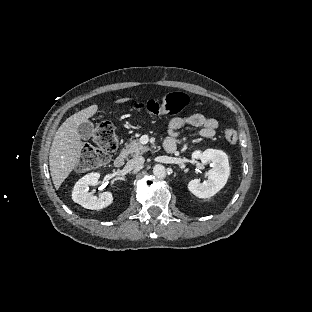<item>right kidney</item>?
<instances>
[{
  "instance_id": "ca27d5eb",
  "label": "right kidney",
  "mask_w": 312,
  "mask_h": 312,
  "mask_svg": "<svg viewBox=\"0 0 312 312\" xmlns=\"http://www.w3.org/2000/svg\"><path fill=\"white\" fill-rule=\"evenodd\" d=\"M97 181V173H90L77 181L72 191L73 201L89 210H101L109 206L113 202L112 192L107 191L97 197L88 191L91 185L97 184Z\"/></svg>"
}]
</instances>
